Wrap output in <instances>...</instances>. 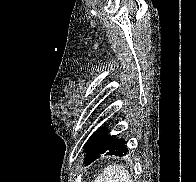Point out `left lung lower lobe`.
<instances>
[{
  "label": "left lung lower lobe",
  "mask_w": 196,
  "mask_h": 182,
  "mask_svg": "<svg viewBox=\"0 0 196 182\" xmlns=\"http://www.w3.org/2000/svg\"><path fill=\"white\" fill-rule=\"evenodd\" d=\"M127 153L128 148L124 139L115 135L108 136L99 146L87 153L84 163L88 165L103 155L123 156Z\"/></svg>",
  "instance_id": "0a47b994"
}]
</instances>
